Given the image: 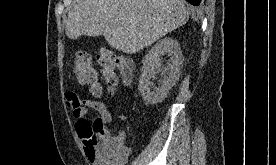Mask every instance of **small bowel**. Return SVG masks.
Instances as JSON below:
<instances>
[{
  "label": "small bowel",
  "instance_id": "1",
  "mask_svg": "<svg viewBox=\"0 0 276 165\" xmlns=\"http://www.w3.org/2000/svg\"><path fill=\"white\" fill-rule=\"evenodd\" d=\"M65 99L78 133V123L81 119H86L90 109L98 114L93 122L100 126L97 142L93 146H89L79 133L86 156L92 165H123L128 155V149L125 146L126 133L123 130L118 131L115 135L111 133L107 124H110L113 118L105 104L89 99L82 100L74 92H67ZM112 144H115L116 147L112 148Z\"/></svg>",
  "mask_w": 276,
  "mask_h": 165
}]
</instances>
